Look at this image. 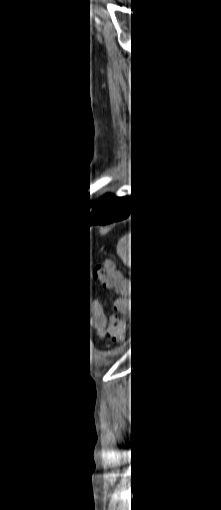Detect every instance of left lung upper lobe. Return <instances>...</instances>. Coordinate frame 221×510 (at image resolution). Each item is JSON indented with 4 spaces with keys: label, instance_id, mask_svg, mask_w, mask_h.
Here are the masks:
<instances>
[{
    "label": "left lung upper lobe",
    "instance_id": "obj_1",
    "mask_svg": "<svg viewBox=\"0 0 221 510\" xmlns=\"http://www.w3.org/2000/svg\"><path fill=\"white\" fill-rule=\"evenodd\" d=\"M116 197L115 196H112V195H100V196H97L92 204H91V211H97V210H100L104 207H106L107 205H109ZM90 211V212H91ZM88 213V212H87Z\"/></svg>",
    "mask_w": 221,
    "mask_h": 510
}]
</instances>
